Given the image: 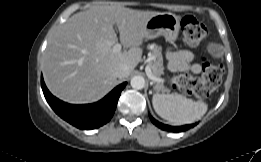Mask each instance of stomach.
I'll list each match as a JSON object with an SVG mask.
<instances>
[{"instance_id":"0dacf381","label":"stomach","mask_w":261,"mask_h":162,"mask_svg":"<svg viewBox=\"0 0 261 162\" xmlns=\"http://www.w3.org/2000/svg\"><path fill=\"white\" fill-rule=\"evenodd\" d=\"M144 28L147 39L164 36L166 42L174 44L178 38L180 19L170 12L160 13L149 18Z\"/></svg>"}]
</instances>
